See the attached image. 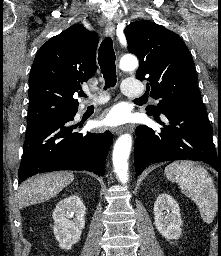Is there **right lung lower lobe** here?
<instances>
[{"label": "right lung lower lobe", "instance_id": "right-lung-lower-lobe-1", "mask_svg": "<svg viewBox=\"0 0 221 256\" xmlns=\"http://www.w3.org/2000/svg\"><path fill=\"white\" fill-rule=\"evenodd\" d=\"M76 113L51 119L26 131L20 182L42 172L56 170H87L104 176L112 134L73 132L69 122Z\"/></svg>", "mask_w": 221, "mask_h": 256}]
</instances>
